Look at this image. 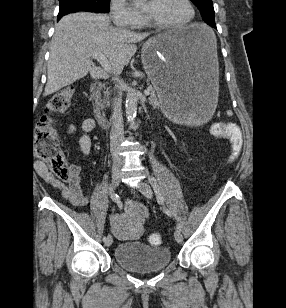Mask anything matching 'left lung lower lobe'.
<instances>
[{"mask_svg": "<svg viewBox=\"0 0 286 308\" xmlns=\"http://www.w3.org/2000/svg\"><path fill=\"white\" fill-rule=\"evenodd\" d=\"M209 25L214 27V28H216V24L215 23H210Z\"/></svg>", "mask_w": 286, "mask_h": 308, "instance_id": "1", "label": "left lung lower lobe"}]
</instances>
